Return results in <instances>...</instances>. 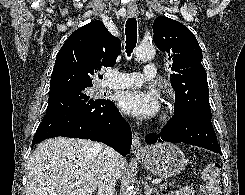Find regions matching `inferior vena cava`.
Returning <instances> with one entry per match:
<instances>
[{
  "label": "inferior vena cava",
  "mask_w": 245,
  "mask_h": 195,
  "mask_svg": "<svg viewBox=\"0 0 245 195\" xmlns=\"http://www.w3.org/2000/svg\"><path fill=\"white\" fill-rule=\"evenodd\" d=\"M115 154L116 152L111 147L105 146V157L98 177L97 195H114L116 178L113 158Z\"/></svg>",
  "instance_id": "602c4592"
}]
</instances>
